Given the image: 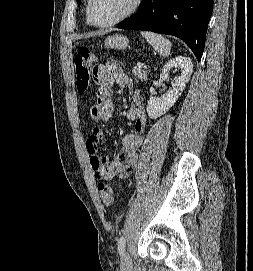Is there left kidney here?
Masks as SVG:
<instances>
[{
    "mask_svg": "<svg viewBox=\"0 0 253 271\" xmlns=\"http://www.w3.org/2000/svg\"><path fill=\"white\" fill-rule=\"evenodd\" d=\"M172 70H180V75L171 82L172 89L161 97H151L148 101L147 112L152 119L160 117L176 103L192 74V60L185 56L171 59L163 66L160 79L169 81V74Z\"/></svg>",
    "mask_w": 253,
    "mask_h": 271,
    "instance_id": "1",
    "label": "left kidney"
}]
</instances>
